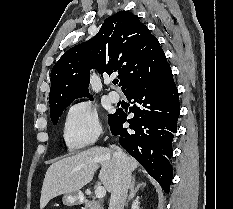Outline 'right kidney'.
<instances>
[{
    "instance_id": "ca27d5eb",
    "label": "right kidney",
    "mask_w": 233,
    "mask_h": 209,
    "mask_svg": "<svg viewBox=\"0 0 233 209\" xmlns=\"http://www.w3.org/2000/svg\"><path fill=\"white\" fill-rule=\"evenodd\" d=\"M131 209H140L139 208V197H137L133 203H132V206H131Z\"/></svg>"
}]
</instances>
